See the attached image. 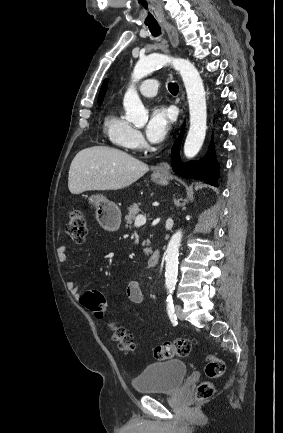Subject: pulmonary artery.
<instances>
[{
	"mask_svg": "<svg viewBox=\"0 0 283 433\" xmlns=\"http://www.w3.org/2000/svg\"><path fill=\"white\" fill-rule=\"evenodd\" d=\"M163 84L160 78L146 79L139 86V92L146 97H155L157 95L158 89Z\"/></svg>",
	"mask_w": 283,
	"mask_h": 433,
	"instance_id": "e3ab8cb5",
	"label": "pulmonary artery"
}]
</instances>
